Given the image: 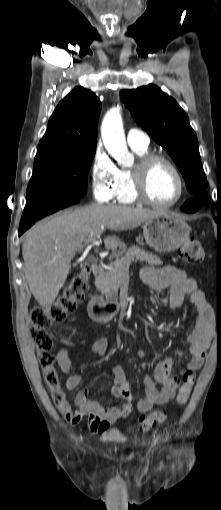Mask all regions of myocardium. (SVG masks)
I'll return each instance as SVG.
<instances>
[{
    "label": "myocardium",
    "mask_w": 221,
    "mask_h": 510,
    "mask_svg": "<svg viewBox=\"0 0 221 510\" xmlns=\"http://www.w3.org/2000/svg\"><path fill=\"white\" fill-rule=\"evenodd\" d=\"M165 163L168 165L177 177L179 191L177 196L169 202H156L150 198L147 192L146 182L151 168L156 163ZM133 193L137 201L155 207L169 208L179 203L185 195L186 183L182 172L170 158L160 154H146L139 158L136 165L131 169Z\"/></svg>",
    "instance_id": "myocardium-1"
}]
</instances>
